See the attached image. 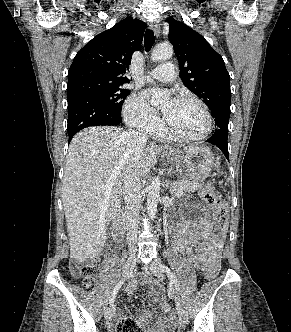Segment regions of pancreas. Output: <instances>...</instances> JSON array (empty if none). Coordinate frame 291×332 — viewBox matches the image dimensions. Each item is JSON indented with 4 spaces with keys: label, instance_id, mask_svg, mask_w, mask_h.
I'll return each mask as SVG.
<instances>
[{
    "label": "pancreas",
    "instance_id": "cf45deb5",
    "mask_svg": "<svg viewBox=\"0 0 291 332\" xmlns=\"http://www.w3.org/2000/svg\"><path fill=\"white\" fill-rule=\"evenodd\" d=\"M204 182L203 180L197 179V180H189V179H182L178 182H174L170 184V193L172 196H177L178 191L180 189L183 190V192H195L196 190H199L202 188Z\"/></svg>",
    "mask_w": 291,
    "mask_h": 332
}]
</instances>
